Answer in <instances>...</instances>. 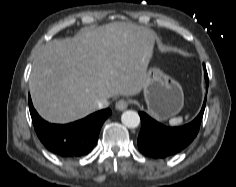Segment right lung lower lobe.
Wrapping results in <instances>:
<instances>
[{
    "mask_svg": "<svg viewBox=\"0 0 236 187\" xmlns=\"http://www.w3.org/2000/svg\"><path fill=\"white\" fill-rule=\"evenodd\" d=\"M29 110L40 141L49 151L63 158L90 153L97 143L103 122L112 113L110 109H104L73 123L50 124L37 114L30 96Z\"/></svg>",
    "mask_w": 236,
    "mask_h": 187,
    "instance_id": "obj_1",
    "label": "right lung lower lobe"
}]
</instances>
